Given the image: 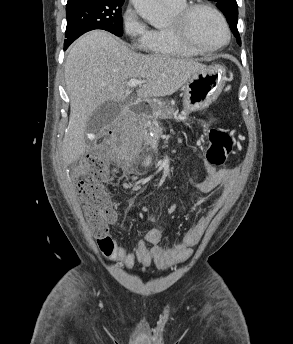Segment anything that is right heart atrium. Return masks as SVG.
Returning a JSON list of instances; mask_svg holds the SVG:
<instances>
[{"label": "right heart atrium", "mask_w": 293, "mask_h": 344, "mask_svg": "<svg viewBox=\"0 0 293 344\" xmlns=\"http://www.w3.org/2000/svg\"><path fill=\"white\" fill-rule=\"evenodd\" d=\"M121 21L123 32L133 47L137 50H145L151 36V29L136 10L128 6L122 14Z\"/></svg>", "instance_id": "1"}]
</instances>
